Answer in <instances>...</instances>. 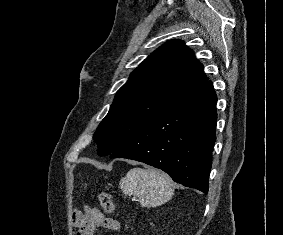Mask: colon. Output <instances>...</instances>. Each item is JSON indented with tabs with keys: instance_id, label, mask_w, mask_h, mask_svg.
<instances>
[{
	"instance_id": "colon-1",
	"label": "colon",
	"mask_w": 283,
	"mask_h": 235,
	"mask_svg": "<svg viewBox=\"0 0 283 235\" xmlns=\"http://www.w3.org/2000/svg\"><path fill=\"white\" fill-rule=\"evenodd\" d=\"M98 200L100 202L101 207L106 213L111 214L115 211V204L111 194L107 192H99Z\"/></svg>"
}]
</instances>
